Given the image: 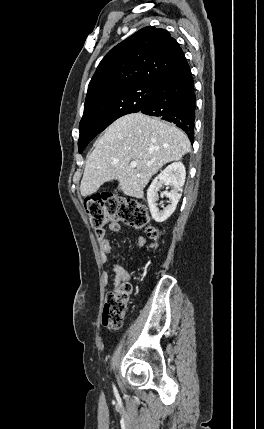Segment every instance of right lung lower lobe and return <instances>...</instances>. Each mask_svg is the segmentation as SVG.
Segmentation results:
<instances>
[{
    "mask_svg": "<svg viewBox=\"0 0 264 429\" xmlns=\"http://www.w3.org/2000/svg\"><path fill=\"white\" fill-rule=\"evenodd\" d=\"M195 102L194 81L184 57L156 84L153 94L140 112L175 123L193 143Z\"/></svg>",
    "mask_w": 264,
    "mask_h": 429,
    "instance_id": "1",
    "label": "right lung lower lobe"
}]
</instances>
